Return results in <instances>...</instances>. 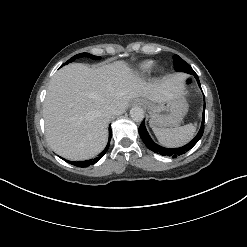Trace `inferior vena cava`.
<instances>
[{"label": "inferior vena cava", "instance_id": "inferior-vena-cava-1", "mask_svg": "<svg viewBox=\"0 0 247 247\" xmlns=\"http://www.w3.org/2000/svg\"><path fill=\"white\" fill-rule=\"evenodd\" d=\"M114 114H116V110L113 109V108H107L105 111H104V115L108 118H110L111 116H113Z\"/></svg>", "mask_w": 247, "mask_h": 247}]
</instances>
